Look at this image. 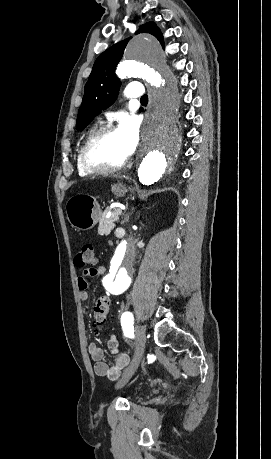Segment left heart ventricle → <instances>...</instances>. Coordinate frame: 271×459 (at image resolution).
I'll use <instances>...</instances> for the list:
<instances>
[{"instance_id": "b2bd125f", "label": "left heart ventricle", "mask_w": 271, "mask_h": 459, "mask_svg": "<svg viewBox=\"0 0 271 459\" xmlns=\"http://www.w3.org/2000/svg\"><path fill=\"white\" fill-rule=\"evenodd\" d=\"M93 152L96 157L111 160H118L130 154L128 145L118 129L110 136L98 141Z\"/></svg>"}]
</instances>
